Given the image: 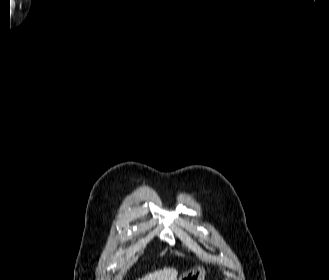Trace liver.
<instances>
[{
  "label": "liver",
  "instance_id": "obj_1",
  "mask_svg": "<svg viewBox=\"0 0 329 280\" xmlns=\"http://www.w3.org/2000/svg\"><path fill=\"white\" fill-rule=\"evenodd\" d=\"M178 271L175 268H167L156 270L148 273L138 280H177Z\"/></svg>",
  "mask_w": 329,
  "mask_h": 280
}]
</instances>
